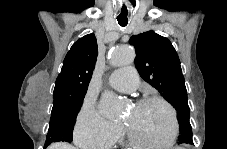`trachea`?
Masks as SVG:
<instances>
[{
  "mask_svg": "<svg viewBox=\"0 0 227 149\" xmlns=\"http://www.w3.org/2000/svg\"><path fill=\"white\" fill-rule=\"evenodd\" d=\"M128 21H125V20H119L118 19V24L121 26V27H125L127 25Z\"/></svg>",
  "mask_w": 227,
  "mask_h": 149,
  "instance_id": "1",
  "label": "trachea"
}]
</instances>
